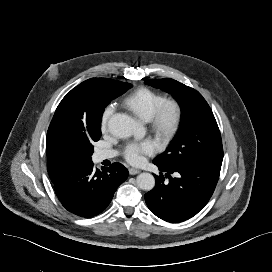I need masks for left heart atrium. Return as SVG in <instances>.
Returning <instances> with one entry per match:
<instances>
[{"label": "left heart atrium", "instance_id": "obj_1", "mask_svg": "<svg viewBox=\"0 0 272 272\" xmlns=\"http://www.w3.org/2000/svg\"><path fill=\"white\" fill-rule=\"evenodd\" d=\"M154 146L150 142L130 143L124 151L125 159L131 164H140L145 155L152 154Z\"/></svg>", "mask_w": 272, "mask_h": 272}]
</instances>
